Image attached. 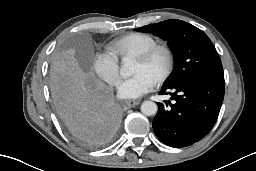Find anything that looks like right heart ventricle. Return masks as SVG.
Returning <instances> with one entry per match:
<instances>
[{"label": "right heart ventricle", "instance_id": "e07e8e85", "mask_svg": "<svg viewBox=\"0 0 256 171\" xmlns=\"http://www.w3.org/2000/svg\"><path fill=\"white\" fill-rule=\"evenodd\" d=\"M156 45H158V41L153 36L146 33L133 32L112 41L108 45V49L117 57L126 58L135 57L137 54Z\"/></svg>", "mask_w": 256, "mask_h": 171}]
</instances>
